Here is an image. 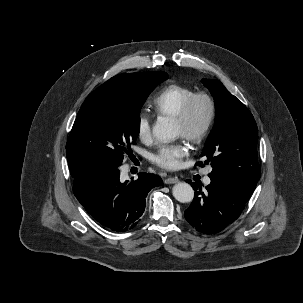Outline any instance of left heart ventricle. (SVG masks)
I'll use <instances>...</instances> for the list:
<instances>
[{"mask_svg":"<svg viewBox=\"0 0 303 303\" xmlns=\"http://www.w3.org/2000/svg\"><path fill=\"white\" fill-rule=\"evenodd\" d=\"M207 114V104L203 99L198 100L193 108L191 122H190V130L195 131L204 122V119ZM175 131L178 136H183L185 133V129L181 124L175 121Z\"/></svg>","mask_w":303,"mask_h":303,"instance_id":"obj_1","label":"left heart ventricle"}]
</instances>
